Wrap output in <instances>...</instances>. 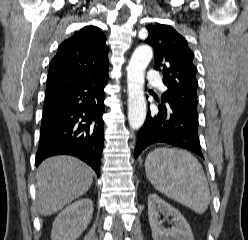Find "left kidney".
<instances>
[{"label":"left kidney","instance_id":"1","mask_svg":"<svg viewBox=\"0 0 248 240\" xmlns=\"http://www.w3.org/2000/svg\"><path fill=\"white\" fill-rule=\"evenodd\" d=\"M160 214L171 216L174 226L165 228ZM148 217L153 240H194L191 227L183 215L156 194L148 196Z\"/></svg>","mask_w":248,"mask_h":240}]
</instances>
